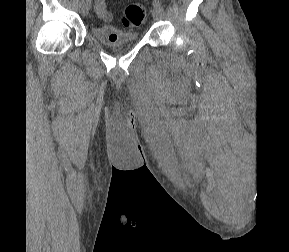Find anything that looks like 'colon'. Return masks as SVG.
<instances>
[{"label":"colon","mask_w":289,"mask_h":252,"mask_svg":"<svg viewBox=\"0 0 289 252\" xmlns=\"http://www.w3.org/2000/svg\"><path fill=\"white\" fill-rule=\"evenodd\" d=\"M95 12L103 20H109L111 17L110 12L107 10L105 0H96L94 5ZM145 8L141 4L128 5L122 14L121 22L125 27L139 26L145 17Z\"/></svg>","instance_id":"colon-1"}]
</instances>
